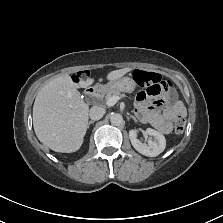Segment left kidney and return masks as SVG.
Returning <instances> with one entry per match:
<instances>
[{
	"label": "left kidney",
	"instance_id": "1",
	"mask_svg": "<svg viewBox=\"0 0 223 223\" xmlns=\"http://www.w3.org/2000/svg\"><path fill=\"white\" fill-rule=\"evenodd\" d=\"M146 131L149 135L154 137L153 141H149V146H145L139 139H137L134 131L129 133L132 145L138 152L143 155L151 157L158 156L166 148V138L161 132L155 129L147 128Z\"/></svg>",
	"mask_w": 223,
	"mask_h": 223
}]
</instances>
